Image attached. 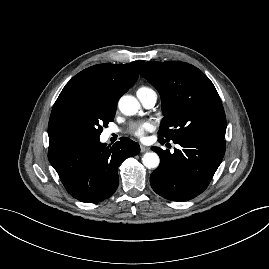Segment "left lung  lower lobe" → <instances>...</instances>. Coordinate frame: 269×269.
Segmentation results:
<instances>
[{"mask_svg":"<svg viewBox=\"0 0 269 269\" xmlns=\"http://www.w3.org/2000/svg\"><path fill=\"white\" fill-rule=\"evenodd\" d=\"M174 143L182 147L175 148L174 153L152 147L161 162L151 174L150 183L153 190L165 199L187 201L198 196L209 185L223 159L225 140L193 137Z\"/></svg>","mask_w":269,"mask_h":269,"instance_id":"1","label":"left lung lower lobe"}]
</instances>
